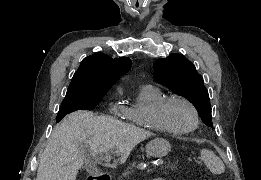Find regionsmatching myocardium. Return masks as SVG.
<instances>
[{"label":"myocardium","mask_w":261,"mask_h":180,"mask_svg":"<svg viewBox=\"0 0 261 180\" xmlns=\"http://www.w3.org/2000/svg\"><path fill=\"white\" fill-rule=\"evenodd\" d=\"M174 103H181L186 105L191 113H192V124L184 129H175L173 127H171L168 123H166L163 118L161 117V112L162 110L167 107L170 106ZM151 118L156 126V128L158 129V131L160 132V134L162 135H166V136H185L189 133H191L192 131H194L200 122V113L199 110L197 108V106L188 98L184 97V96H169L166 97L152 112L151 114Z\"/></svg>","instance_id":"f54148a6"}]
</instances>
